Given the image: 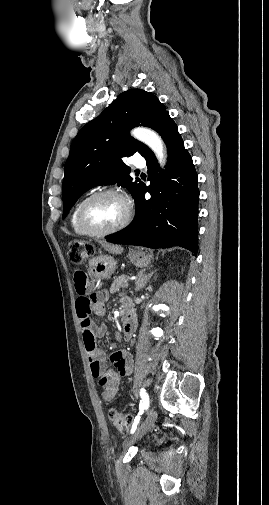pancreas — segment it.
I'll return each mask as SVG.
<instances>
[{
	"mask_svg": "<svg viewBox=\"0 0 269 505\" xmlns=\"http://www.w3.org/2000/svg\"><path fill=\"white\" fill-rule=\"evenodd\" d=\"M126 276H121L119 278H116L114 280V282L112 283L111 285V288H110V293H115V292H118L120 291L121 288H124L125 287V283H126Z\"/></svg>",
	"mask_w": 269,
	"mask_h": 505,
	"instance_id": "pancreas-1",
	"label": "pancreas"
}]
</instances>
